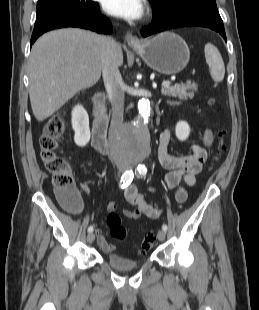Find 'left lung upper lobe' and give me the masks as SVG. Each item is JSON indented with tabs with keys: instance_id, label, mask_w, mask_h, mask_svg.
Segmentation results:
<instances>
[{
	"instance_id": "1",
	"label": "left lung upper lobe",
	"mask_w": 259,
	"mask_h": 310,
	"mask_svg": "<svg viewBox=\"0 0 259 310\" xmlns=\"http://www.w3.org/2000/svg\"><path fill=\"white\" fill-rule=\"evenodd\" d=\"M154 8L153 22H159L193 9L217 10L216 0H149Z\"/></svg>"
}]
</instances>
